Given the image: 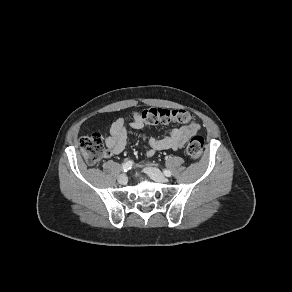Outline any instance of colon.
<instances>
[{"label":"colon","instance_id":"1","mask_svg":"<svg viewBox=\"0 0 292 292\" xmlns=\"http://www.w3.org/2000/svg\"><path fill=\"white\" fill-rule=\"evenodd\" d=\"M142 116L147 123L158 122H184L186 121V111L169 109H147L142 112ZM80 150L88 164L97 163L104 155L103 139L99 133L84 136L79 140ZM204 149V140L201 136H194L188 143L186 151L190 158L198 159Z\"/></svg>","mask_w":292,"mask_h":292}]
</instances>
